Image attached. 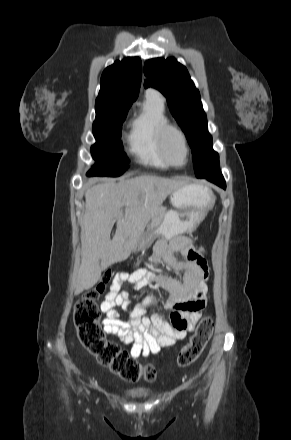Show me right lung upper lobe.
<instances>
[{"label":"right lung upper lobe","instance_id":"1","mask_svg":"<svg viewBox=\"0 0 291 440\" xmlns=\"http://www.w3.org/2000/svg\"><path fill=\"white\" fill-rule=\"evenodd\" d=\"M142 78L139 57H128L107 67L101 76L95 108L116 105L130 107L137 99Z\"/></svg>","mask_w":291,"mask_h":440}]
</instances>
